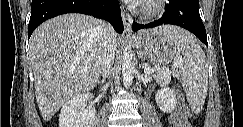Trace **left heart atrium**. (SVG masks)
I'll list each match as a JSON object with an SVG mask.
<instances>
[{"mask_svg":"<svg viewBox=\"0 0 243 127\" xmlns=\"http://www.w3.org/2000/svg\"><path fill=\"white\" fill-rule=\"evenodd\" d=\"M129 2L137 4L143 2V0H130Z\"/></svg>","mask_w":243,"mask_h":127,"instance_id":"obj_1","label":"left heart atrium"}]
</instances>
